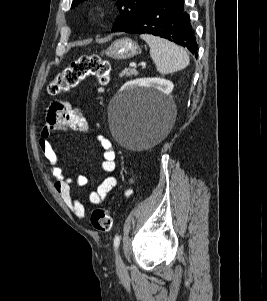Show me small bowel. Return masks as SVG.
<instances>
[{
  "label": "small bowel",
  "mask_w": 267,
  "mask_h": 301,
  "mask_svg": "<svg viewBox=\"0 0 267 301\" xmlns=\"http://www.w3.org/2000/svg\"><path fill=\"white\" fill-rule=\"evenodd\" d=\"M69 129L81 133H89L86 117L80 109L72 107L65 101H55L47 109L45 123L39 139L40 149L49 163L50 171L55 179V189L62 197L66 206L79 218L85 217L84 205L73 195V187L86 186L88 178L85 176L71 177L64 173L58 155L50 142V136L56 131ZM96 141L102 149L101 167L104 172L112 174L115 171V152L109 139L96 136ZM118 179L114 175L104 178L97 188L89 193L91 204H100L117 186Z\"/></svg>",
  "instance_id": "1"
}]
</instances>
